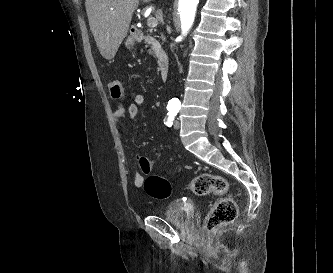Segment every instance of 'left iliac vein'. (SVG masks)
<instances>
[{"label":"left iliac vein","mask_w":333,"mask_h":273,"mask_svg":"<svg viewBox=\"0 0 333 273\" xmlns=\"http://www.w3.org/2000/svg\"><path fill=\"white\" fill-rule=\"evenodd\" d=\"M174 128L175 129H179L180 128V121H178V120L174 121Z\"/></svg>","instance_id":"obj_1"}]
</instances>
